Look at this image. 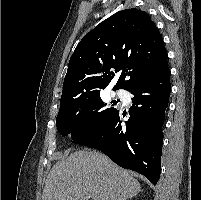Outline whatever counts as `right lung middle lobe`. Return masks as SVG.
I'll list each match as a JSON object with an SVG mask.
<instances>
[{
  "instance_id": "obj_1",
  "label": "right lung middle lobe",
  "mask_w": 201,
  "mask_h": 200,
  "mask_svg": "<svg viewBox=\"0 0 201 200\" xmlns=\"http://www.w3.org/2000/svg\"><path fill=\"white\" fill-rule=\"evenodd\" d=\"M116 111L101 100L100 92L88 94L61 102L56 126L61 135L76 140L98 130Z\"/></svg>"
}]
</instances>
